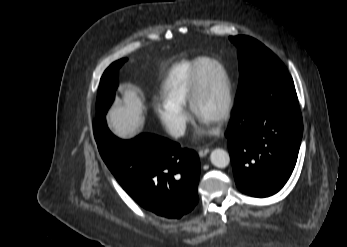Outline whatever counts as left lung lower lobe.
Wrapping results in <instances>:
<instances>
[{
    "label": "left lung lower lobe",
    "instance_id": "1",
    "mask_svg": "<svg viewBox=\"0 0 347 247\" xmlns=\"http://www.w3.org/2000/svg\"><path fill=\"white\" fill-rule=\"evenodd\" d=\"M303 122L292 77L273 75L236 103L226 132L237 187L253 197L277 193L299 152Z\"/></svg>",
    "mask_w": 347,
    "mask_h": 247
}]
</instances>
